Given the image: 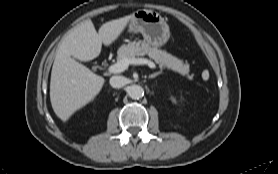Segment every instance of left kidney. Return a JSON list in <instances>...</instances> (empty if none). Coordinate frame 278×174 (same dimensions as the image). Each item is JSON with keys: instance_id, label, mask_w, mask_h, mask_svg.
Wrapping results in <instances>:
<instances>
[{"instance_id": "1", "label": "left kidney", "mask_w": 278, "mask_h": 174, "mask_svg": "<svg viewBox=\"0 0 278 174\" xmlns=\"http://www.w3.org/2000/svg\"><path fill=\"white\" fill-rule=\"evenodd\" d=\"M172 101H173V102H176V100H175V99H172Z\"/></svg>"}]
</instances>
